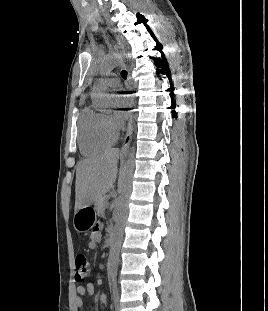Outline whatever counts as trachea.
<instances>
[{
    "label": "trachea",
    "mask_w": 268,
    "mask_h": 311,
    "mask_svg": "<svg viewBox=\"0 0 268 311\" xmlns=\"http://www.w3.org/2000/svg\"><path fill=\"white\" fill-rule=\"evenodd\" d=\"M121 76H122L123 79H127V71L126 70H122Z\"/></svg>",
    "instance_id": "obj_1"
}]
</instances>
